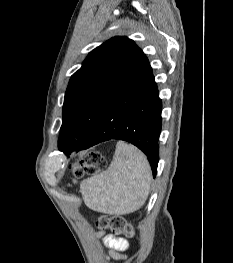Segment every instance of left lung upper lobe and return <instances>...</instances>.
Here are the masks:
<instances>
[{
	"label": "left lung upper lobe",
	"mask_w": 233,
	"mask_h": 263,
	"mask_svg": "<svg viewBox=\"0 0 233 263\" xmlns=\"http://www.w3.org/2000/svg\"><path fill=\"white\" fill-rule=\"evenodd\" d=\"M144 57L134 41L126 37H113L91 51L67 87L58 141L84 143L104 109Z\"/></svg>",
	"instance_id": "1"
}]
</instances>
